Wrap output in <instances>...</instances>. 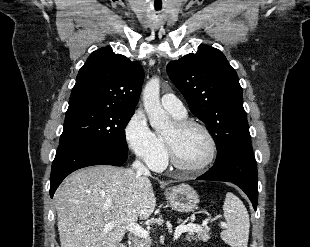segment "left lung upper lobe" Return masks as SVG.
Masks as SVG:
<instances>
[{
	"mask_svg": "<svg viewBox=\"0 0 310 247\" xmlns=\"http://www.w3.org/2000/svg\"><path fill=\"white\" fill-rule=\"evenodd\" d=\"M167 73L203 121L217 146L216 162L251 145L243 90L223 53L202 45L197 53L171 61Z\"/></svg>",
	"mask_w": 310,
	"mask_h": 247,
	"instance_id": "5c2ea615",
	"label": "left lung upper lobe"
}]
</instances>
